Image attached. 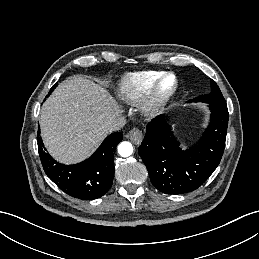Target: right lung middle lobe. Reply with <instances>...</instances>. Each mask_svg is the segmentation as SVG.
<instances>
[{
  "instance_id": "obj_1",
  "label": "right lung middle lobe",
  "mask_w": 259,
  "mask_h": 259,
  "mask_svg": "<svg viewBox=\"0 0 259 259\" xmlns=\"http://www.w3.org/2000/svg\"><path fill=\"white\" fill-rule=\"evenodd\" d=\"M57 86V84L53 85L51 88V91L49 92V94L53 91V89H55V87ZM48 97V96H47Z\"/></svg>"
}]
</instances>
